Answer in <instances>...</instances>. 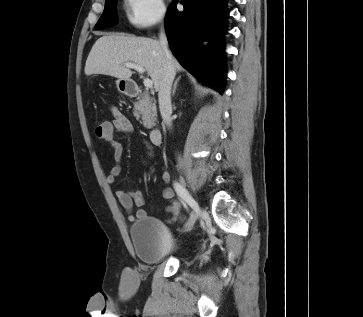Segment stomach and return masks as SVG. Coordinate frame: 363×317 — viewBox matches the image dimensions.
Returning a JSON list of instances; mask_svg holds the SVG:
<instances>
[{"mask_svg":"<svg viewBox=\"0 0 363 317\" xmlns=\"http://www.w3.org/2000/svg\"><path fill=\"white\" fill-rule=\"evenodd\" d=\"M129 80L118 79L116 81V87L120 93L127 94L129 91Z\"/></svg>","mask_w":363,"mask_h":317,"instance_id":"obj_1","label":"stomach"}]
</instances>
